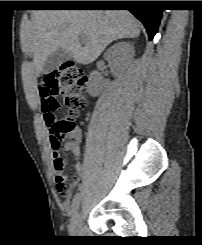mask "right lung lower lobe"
<instances>
[{
    "label": "right lung lower lobe",
    "instance_id": "right-lung-lower-lobe-1",
    "mask_svg": "<svg viewBox=\"0 0 202 245\" xmlns=\"http://www.w3.org/2000/svg\"><path fill=\"white\" fill-rule=\"evenodd\" d=\"M79 6L128 7V10L144 24L150 40L157 32L163 11L157 1H80Z\"/></svg>",
    "mask_w": 202,
    "mask_h": 245
}]
</instances>
